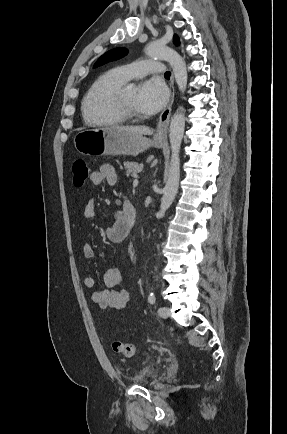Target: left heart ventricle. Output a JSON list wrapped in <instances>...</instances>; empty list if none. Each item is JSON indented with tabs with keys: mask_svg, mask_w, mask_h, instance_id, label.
Returning a JSON list of instances; mask_svg holds the SVG:
<instances>
[{
	"mask_svg": "<svg viewBox=\"0 0 287 434\" xmlns=\"http://www.w3.org/2000/svg\"><path fill=\"white\" fill-rule=\"evenodd\" d=\"M123 99L125 103L134 111L141 112L136 103V90L133 88L126 87L122 92Z\"/></svg>",
	"mask_w": 287,
	"mask_h": 434,
	"instance_id": "1",
	"label": "left heart ventricle"
}]
</instances>
